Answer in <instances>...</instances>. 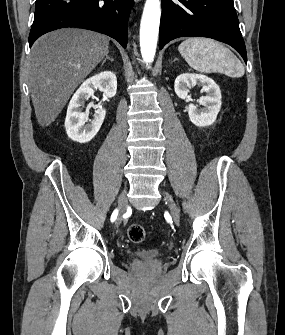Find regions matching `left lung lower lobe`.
<instances>
[{
	"mask_svg": "<svg viewBox=\"0 0 285 335\" xmlns=\"http://www.w3.org/2000/svg\"><path fill=\"white\" fill-rule=\"evenodd\" d=\"M185 36L227 43L247 62L233 0H162L160 49L169 41Z\"/></svg>",
	"mask_w": 285,
	"mask_h": 335,
	"instance_id": "left-lung-lower-lobe-1",
	"label": "left lung lower lobe"
}]
</instances>
